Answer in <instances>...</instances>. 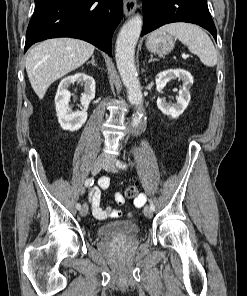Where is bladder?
I'll use <instances>...</instances> for the list:
<instances>
[{
	"instance_id": "1",
	"label": "bladder",
	"mask_w": 247,
	"mask_h": 296,
	"mask_svg": "<svg viewBox=\"0 0 247 296\" xmlns=\"http://www.w3.org/2000/svg\"><path fill=\"white\" fill-rule=\"evenodd\" d=\"M139 230L140 228L137 223L129 220H123L103 224L97 229V232L100 236L115 238L135 235L139 232Z\"/></svg>"
}]
</instances>
